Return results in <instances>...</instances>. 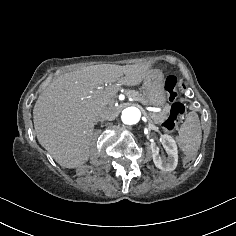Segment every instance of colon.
Returning a JSON list of instances; mask_svg holds the SVG:
<instances>
[{
    "mask_svg": "<svg viewBox=\"0 0 236 236\" xmlns=\"http://www.w3.org/2000/svg\"><path fill=\"white\" fill-rule=\"evenodd\" d=\"M176 85L177 78L171 74L167 75L164 81V90L168 100L172 103L168 118L164 123L167 129L175 128L185 113L184 104L177 101Z\"/></svg>",
    "mask_w": 236,
    "mask_h": 236,
    "instance_id": "5ec220e1",
    "label": "colon"
}]
</instances>
